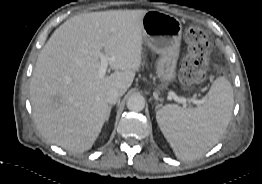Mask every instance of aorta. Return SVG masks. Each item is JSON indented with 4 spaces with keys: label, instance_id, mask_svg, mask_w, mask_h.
Wrapping results in <instances>:
<instances>
[{
    "label": "aorta",
    "instance_id": "obj_1",
    "mask_svg": "<svg viewBox=\"0 0 262 184\" xmlns=\"http://www.w3.org/2000/svg\"><path fill=\"white\" fill-rule=\"evenodd\" d=\"M145 107V99L141 95H131L127 100V108L130 111L139 112Z\"/></svg>",
    "mask_w": 262,
    "mask_h": 184
}]
</instances>
